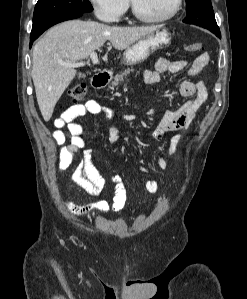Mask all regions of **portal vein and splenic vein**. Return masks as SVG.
<instances>
[{
	"label": "portal vein and splenic vein",
	"instance_id": "1",
	"mask_svg": "<svg viewBox=\"0 0 247 299\" xmlns=\"http://www.w3.org/2000/svg\"><path fill=\"white\" fill-rule=\"evenodd\" d=\"M90 58H91V61L93 64H98L99 63V59H98V56H97V53L95 51L91 52L90 54ZM63 65L65 66H68V67H81V66H84L85 63L83 62H78V61H71V62H63L62 63Z\"/></svg>",
	"mask_w": 247,
	"mask_h": 299
}]
</instances>
